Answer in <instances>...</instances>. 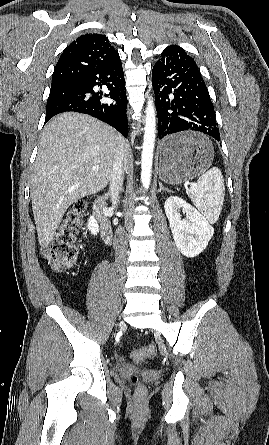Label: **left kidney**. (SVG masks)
Returning <instances> with one entry per match:
<instances>
[{
    "mask_svg": "<svg viewBox=\"0 0 269 445\" xmlns=\"http://www.w3.org/2000/svg\"><path fill=\"white\" fill-rule=\"evenodd\" d=\"M164 208L178 250L191 258L203 252L214 234L209 222L192 205L177 196H170ZM180 210L186 216L184 219Z\"/></svg>",
    "mask_w": 269,
    "mask_h": 445,
    "instance_id": "1",
    "label": "left kidney"
}]
</instances>
